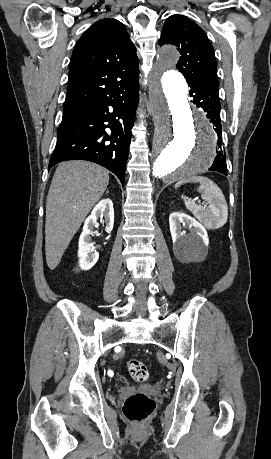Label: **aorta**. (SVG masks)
<instances>
[{
	"mask_svg": "<svg viewBox=\"0 0 271 459\" xmlns=\"http://www.w3.org/2000/svg\"><path fill=\"white\" fill-rule=\"evenodd\" d=\"M178 59L175 47L162 48L149 85L152 176L168 182L208 170L216 156V133L205 115L190 107L186 80L174 69Z\"/></svg>",
	"mask_w": 271,
	"mask_h": 459,
	"instance_id": "1",
	"label": "aorta"
}]
</instances>
